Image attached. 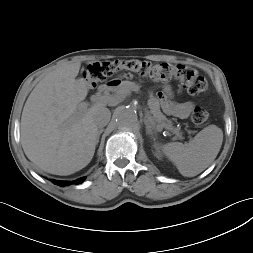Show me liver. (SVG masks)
Segmentation results:
<instances>
[{
  "label": "liver",
  "mask_w": 253,
  "mask_h": 253,
  "mask_svg": "<svg viewBox=\"0 0 253 253\" xmlns=\"http://www.w3.org/2000/svg\"><path fill=\"white\" fill-rule=\"evenodd\" d=\"M92 63V62H89ZM81 63L67 62L49 72L30 93L21 117V144L27 158L41 170L70 175L93 158L98 137L96 113L101 100L79 114L78 105L89 90L76 79Z\"/></svg>",
  "instance_id": "obj_1"
}]
</instances>
